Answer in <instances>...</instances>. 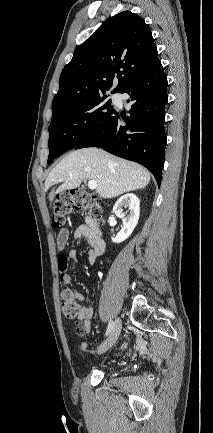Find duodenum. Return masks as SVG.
I'll return each instance as SVG.
<instances>
[{
	"label": "duodenum",
	"mask_w": 213,
	"mask_h": 433,
	"mask_svg": "<svg viewBox=\"0 0 213 433\" xmlns=\"http://www.w3.org/2000/svg\"><path fill=\"white\" fill-rule=\"evenodd\" d=\"M89 227L92 229V231L96 234L97 237L102 239V233H101L96 221L92 218L89 219Z\"/></svg>",
	"instance_id": "410a0bca"
}]
</instances>
